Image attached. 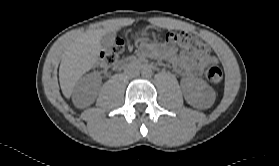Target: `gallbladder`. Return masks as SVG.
Returning <instances> with one entry per match:
<instances>
[{"label": "gallbladder", "mask_w": 279, "mask_h": 166, "mask_svg": "<svg viewBox=\"0 0 279 166\" xmlns=\"http://www.w3.org/2000/svg\"><path fill=\"white\" fill-rule=\"evenodd\" d=\"M115 43V33L114 32H108L105 35L102 36L100 40V46L102 50H108L111 48Z\"/></svg>", "instance_id": "1"}]
</instances>
